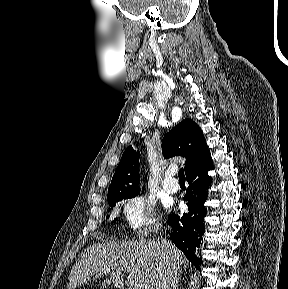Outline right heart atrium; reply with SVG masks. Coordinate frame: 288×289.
<instances>
[{
    "instance_id": "obj_1",
    "label": "right heart atrium",
    "mask_w": 288,
    "mask_h": 289,
    "mask_svg": "<svg viewBox=\"0 0 288 289\" xmlns=\"http://www.w3.org/2000/svg\"><path fill=\"white\" fill-rule=\"evenodd\" d=\"M129 226L137 231H150L157 222L153 202L145 196H135L124 206Z\"/></svg>"
}]
</instances>
